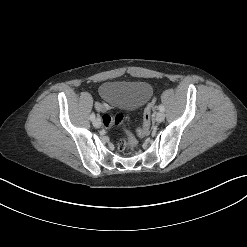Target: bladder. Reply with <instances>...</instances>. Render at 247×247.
<instances>
[{
  "mask_svg": "<svg viewBox=\"0 0 247 247\" xmlns=\"http://www.w3.org/2000/svg\"><path fill=\"white\" fill-rule=\"evenodd\" d=\"M99 94L111 106L133 110L150 99L152 88L146 82L105 81Z\"/></svg>",
  "mask_w": 247,
  "mask_h": 247,
  "instance_id": "bladder-1",
  "label": "bladder"
}]
</instances>
